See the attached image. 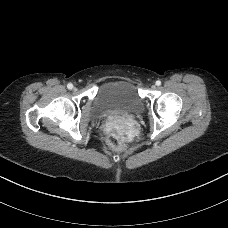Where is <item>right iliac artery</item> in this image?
<instances>
[{
  "label": "right iliac artery",
  "instance_id": "obj_1",
  "mask_svg": "<svg viewBox=\"0 0 228 228\" xmlns=\"http://www.w3.org/2000/svg\"><path fill=\"white\" fill-rule=\"evenodd\" d=\"M67 88H68V89H72V88H73V85H72L71 83H69V84L67 85Z\"/></svg>",
  "mask_w": 228,
  "mask_h": 228
}]
</instances>
